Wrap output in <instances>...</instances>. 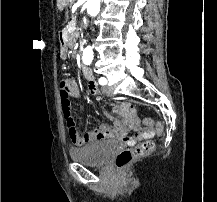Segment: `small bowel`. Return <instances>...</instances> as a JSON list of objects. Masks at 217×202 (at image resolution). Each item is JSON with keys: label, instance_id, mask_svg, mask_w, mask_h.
Returning <instances> with one entry per match:
<instances>
[{"label": "small bowel", "instance_id": "1", "mask_svg": "<svg viewBox=\"0 0 217 202\" xmlns=\"http://www.w3.org/2000/svg\"><path fill=\"white\" fill-rule=\"evenodd\" d=\"M87 86L90 94L94 96L98 94L99 90L93 79H88ZM80 95V88L73 80L70 97L79 98ZM135 108L136 105L130 104L129 101H120L119 104H113L114 113H125L124 116H121L122 119L117 120V116H112L111 119L114 122L110 125H103L83 134L75 132V134L70 135L72 144L83 146L106 139H113L118 140L123 145L133 146L138 140L145 139V136H153L154 131L152 128H142L138 118L133 113ZM106 115L108 116L107 113Z\"/></svg>", "mask_w": 217, "mask_h": 202}]
</instances>
